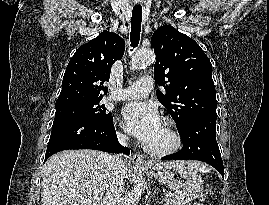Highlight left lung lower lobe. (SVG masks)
<instances>
[{
	"mask_svg": "<svg viewBox=\"0 0 269 205\" xmlns=\"http://www.w3.org/2000/svg\"><path fill=\"white\" fill-rule=\"evenodd\" d=\"M184 144L174 154L162 157L165 160H200L213 166L223 175V162L216 141V117H200L190 122L179 133Z\"/></svg>",
	"mask_w": 269,
	"mask_h": 205,
	"instance_id": "1",
	"label": "left lung lower lobe"
}]
</instances>
